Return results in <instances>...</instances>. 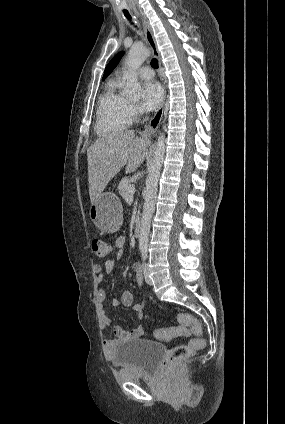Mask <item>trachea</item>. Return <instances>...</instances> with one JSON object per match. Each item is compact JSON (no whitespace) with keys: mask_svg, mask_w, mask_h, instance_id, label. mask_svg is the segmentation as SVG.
I'll return each mask as SVG.
<instances>
[{"mask_svg":"<svg viewBox=\"0 0 285 424\" xmlns=\"http://www.w3.org/2000/svg\"><path fill=\"white\" fill-rule=\"evenodd\" d=\"M124 15H125V17L128 19V20H131V16H130V14H129V12L128 11H124ZM151 66L153 67V68H155V69H157L158 68V61H157V59H152L151 60Z\"/></svg>","mask_w":285,"mask_h":424,"instance_id":"1","label":"trachea"}]
</instances>
